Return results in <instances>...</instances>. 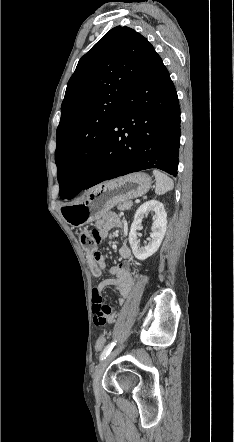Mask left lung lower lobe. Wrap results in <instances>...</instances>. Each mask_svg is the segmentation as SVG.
<instances>
[{
	"label": "left lung lower lobe",
	"mask_w": 234,
	"mask_h": 442,
	"mask_svg": "<svg viewBox=\"0 0 234 442\" xmlns=\"http://www.w3.org/2000/svg\"><path fill=\"white\" fill-rule=\"evenodd\" d=\"M179 145L177 93L168 70L154 52L124 95L100 156L81 191L149 168L176 177Z\"/></svg>",
	"instance_id": "1"
}]
</instances>
